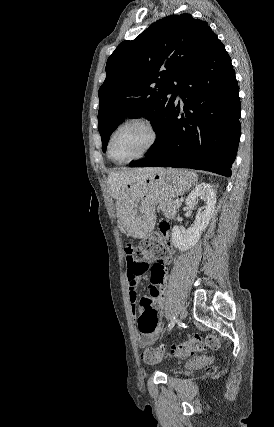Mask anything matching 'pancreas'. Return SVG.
Returning <instances> with one entry per match:
<instances>
[{
  "label": "pancreas",
  "instance_id": "obj_1",
  "mask_svg": "<svg viewBox=\"0 0 274 427\" xmlns=\"http://www.w3.org/2000/svg\"><path fill=\"white\" fill-rule=\"evenodd\" d=\"M179 208L180 204H176L174 200H162V202H159L157 210H159V212H163L165 217H169V219H171V217H175Z\"/></svg>",
  "mask_w": 274,
  "mask_h": 427
}]
</instances>
